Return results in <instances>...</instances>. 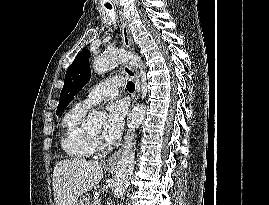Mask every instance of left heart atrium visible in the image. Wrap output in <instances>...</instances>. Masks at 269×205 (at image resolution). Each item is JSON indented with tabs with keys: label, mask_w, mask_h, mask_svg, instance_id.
<instances>
[{
	"label": "left heart atrium",
	"mask_w": 269,
	"mask_h": 205,
	"mask_svg": "<svg viewBox=\"0 0 269 205\" xmlns=\"http://www.w3.org/2000/svg\"><path fill=\"white\" fill-rule=\"evenodd\" d=\"M127 113V105L123 101H116L109 104L107 108V120L102 136L109 142L117 141L124 128V120Z\"/></svg>",
	"instance_id": "39dd6f15"
}]
</instances>
